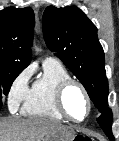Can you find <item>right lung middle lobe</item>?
<instances>
[{"instance_id": "dd1d6c3e", "label": "right lung middle lobe", "mask_w": 119, "mask_h": 141, "mask_svg": "<svg viewBox=\"0 0 119 141\" xmlns=\"http://www.w3.org/2000/svg\"><path fill=\"white\" fill-rule=\"evenodd\" d=\"M21 73L18 70H0V109L2 107V96L8 94L15 78Z\"/></svg>"}]
</instances>
